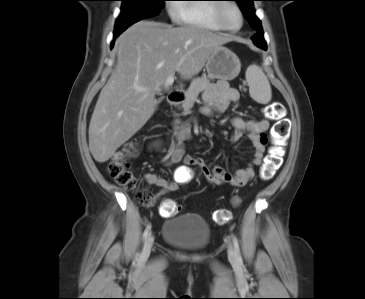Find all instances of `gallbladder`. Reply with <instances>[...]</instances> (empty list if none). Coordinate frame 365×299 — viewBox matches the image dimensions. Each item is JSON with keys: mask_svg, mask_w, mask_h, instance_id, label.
<instances>
[{"mask_svg": "<svg viewBox=\"0 0 365 299\" xmlns=\"http://www.w3.org/2000/svg\"><path fill=\"white\" fill-rule=\"evenodd\" d=\"M163 99L162 98H159L157 101L160 103Z\"/></svg>", "mask_w": 365, "mask_h": 299, "instance_id": "obj_1", "label": "gallbladder"}]
</instances>
